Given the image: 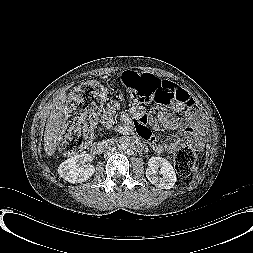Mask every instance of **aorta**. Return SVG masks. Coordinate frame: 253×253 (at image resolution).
<instances>
[{
  "label": "aorta",
  "instance_id": "aorta-1",
  "mask_svg": "<svg viewBox=\"0 0 253 253\" xmlns=\"http://www.w3.org/2000/svg\"><path fill=\"white\" fill-rule=\"evenodd\" d=\"M118 148L120 151H125L126 148H127V145L124 143V142H121L119 145H118Z\"/></svg>",
  "mask_w": 253,
  "mask_h": 253
}]
</instances>
